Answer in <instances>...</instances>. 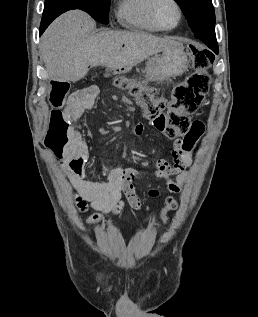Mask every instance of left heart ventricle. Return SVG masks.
Listing matches in <instances>:
<instances>
[{
  "label": "left heart ventricle",
  "instance_id": "1",
  "mask_svg": "<svg viewBox=\"0 0 258 317\" xmlns=\"http://www.w3.org/2000/svg\"><path fill=\"white\" fill-rule=\"evenodd\" d=\"M156 17L164 26L173 25L177 20V8L174 2L166 0L156 8Z\"/></svg>",
  "mask_w": 258,
  "mask_h": 317
}]
</instances>
